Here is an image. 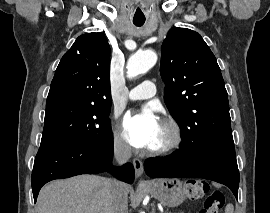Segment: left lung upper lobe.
Returning a JSON list of instances; mask_svg holds the SVG:
<instances>
[{
	"label": "left lung upper lobe",
	"instance_id": "5c2ea615",
	"mask_svg": "<svg viewBox=\"0 0 270 213\" xmlns=\"http://www.w3.org/2000/svg\"><path fill=\"white\" fill-rule=\"evenodd\" d=\"M164 99L182 140L217 146L234 143L228 94L214 54L195 31L174 27L163 41Z\"/></svg>",
	"mask_w": 270,
	"mask_h": 213
}]
</instances>
